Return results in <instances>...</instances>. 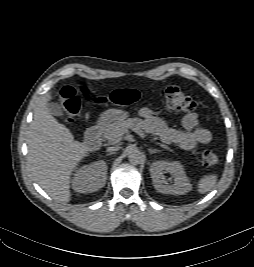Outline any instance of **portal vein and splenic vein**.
I'll use <instances>...</instances> for the list:
<instances>
[{
	"instance_id": "18ae733b",
	"label": "portal vein and splenic vein",
	"mask_w": 254,
	"mask_h": 267,
	"mask_svg": "<svg viewBox=\"0 0 254 267\" xmlns=\"http://www.w3.org/2000/svg\"><path fill=\"white\" fill-rule=\"evenodd\" d=\"M132 130L137 133L141 138L145 137V134L143 133V131L139 128V127H132ZM120 141V138L116 139L115 142H111V143H117Z\"/></svg>"
}]
</instances>
